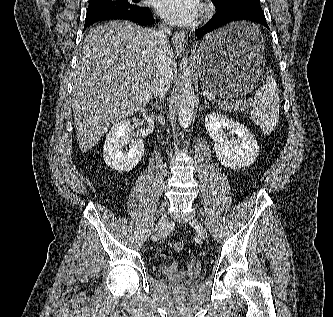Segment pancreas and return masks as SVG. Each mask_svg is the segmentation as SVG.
<instances>
[{
    "label": "pancreas",
    "instance_id": "pancreas-1",
    "mask_svg": "<svg viewBox=\"0 0 333 317\" xmlns=\"http://www.w3.org/2000/svg\"><path fill=\"white\" fill-rule=\"evenodd\" d=\"M219 107L222 109V110H225V111H237V110H243L245 109V105H241V104H238V103H229V102H222L219 104Z\"/></svg>",
    "mask_w": 333,
    "mask_h": 317
}]
</instances>
